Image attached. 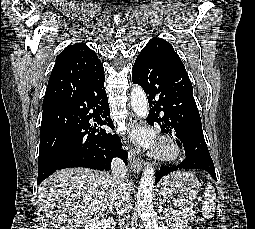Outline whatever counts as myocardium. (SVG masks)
<instances>
[{
    "instance_id": "f54148a6",
    "label": "myocardium",
    "mask_w": 255,
    "mask_h": 229,
    "mask_svg": "<svg viewBox=\"0 0 255 229\" xmlns=\"http://www.w3.org/2000/svg\"><path fill=\"white\" fill-rule=\"evenodd\" d=\"M179 147L171 140L164 139L158 144L154 156L161 160L171 161L179 158Z\"/></svg>"
}]
</instances>
